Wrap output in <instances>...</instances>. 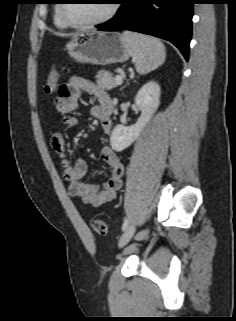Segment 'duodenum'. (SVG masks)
I'll return each mask as SVG.
<instances>
[{"label":"duodenum","mask_w":236,"mask_h":321,"mask_svg":"<svg viewBox=\"0 0 236 321\" xmlns=\"http://www.w3.org/2000/svg\"><path fill=\"white\" fill-rule=\"evenodd\" d=\"M112 108H113V105H112V102H111V104H110V110L112 111Z\"/></svg>","instance_id":"1"}]
</instances>
